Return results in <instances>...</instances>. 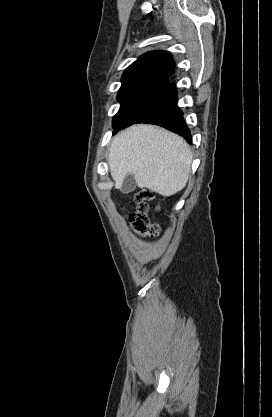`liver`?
Masks as SVG:
<instances>
[{"instance_id": "obj_1", "label": "liver", "mask_w": 272, "mask_h": 417, "mask_svg": "<svg viewBox=\"0 0 272 417\" xmlns=\"http://www.w3.org/2000/svg\"><path fill=\"white\" fill-rule=\"evenodd\" d=\"M108 163L115 188L120 189L125 177L132 174L138 187L169 197L186 186L192 153L180 136L139 124L114 137Z\"/></svg>"}]
</instances>
